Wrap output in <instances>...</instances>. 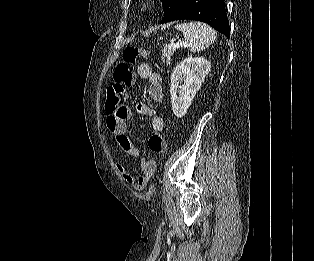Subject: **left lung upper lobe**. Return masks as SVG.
<instances>
[{"instance_id":"5c2ea615","label":"left lung upper lobe","mask_w":314,"mask_h":261,"mask_svg":"<svg viewBox=\"0 0 314 261\" xmlns=\"http://www.w3.org/2000/svg\"><path fill=\"white\" fill-rule=\"evenodd\" d=\"M184 0H161L164 7V18L161 23L169 22Z\"/></svg>"}]
</instances>
